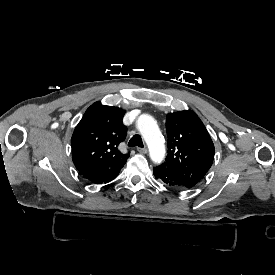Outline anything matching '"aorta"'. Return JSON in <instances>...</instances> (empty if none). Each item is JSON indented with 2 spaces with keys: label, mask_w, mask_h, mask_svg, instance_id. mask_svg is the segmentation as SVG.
<instances>
[{
  "label": "aorta",
  "mask_w": 275,
  "mask_h": 275,
  "mask_svg": "<svg viewBox=\"0 0 275 275\" xmlns=\"http://www.w3.org/2000/svg\"><path fill=\"white\" fill-rule=\"evenodd\" d=\"M137 127L149 146L152 160L161 161L164 156V146L156 120L150 115H142L137 121Z\"/></svg>",
  "instance_id": "obj_1"
}]
</instances>
